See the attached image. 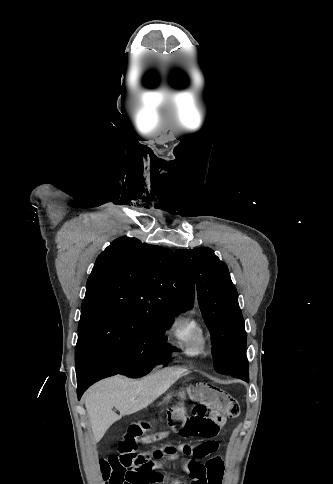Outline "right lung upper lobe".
Here are the masks:
<instances>
[{
    "label": "right lung upper lobe",
    "instance_id": "cb5924a9",
    "mask_svg": "<svg viewBox=\"0 0 333 484\" xmlns=\"http://www.w3.org/2000/svg\"><path fill=\"white\" fill-rule=\"evenodd\" d=\"M194 294L193 278L175 252L120 237L96 259L82 308L178 313L192 304Z\"/></svg>",
    "mask_w": 333,
    "mask_h": 484
}]
</instances>
